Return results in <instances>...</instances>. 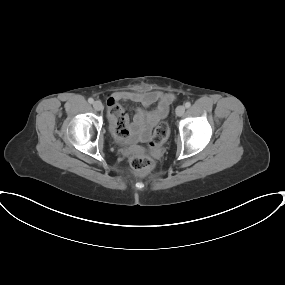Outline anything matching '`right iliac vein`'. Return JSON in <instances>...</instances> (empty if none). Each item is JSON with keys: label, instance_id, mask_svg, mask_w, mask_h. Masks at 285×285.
I'll return each mask as SVG.
<instances>
[{"label": "right iliac vein", "instance_id": "63e3f726", "mask_svg": "<svg viewBox=\"0 0 285 285\" xmlns=\"http://www.w3.org/2000/svg\"><path fill=\"white\" fill-rule=\"evenodd\" d=\"M93 107L95 110L100 111L103 109V104L101 103V101L97 100L93 103Z\"/></svg>", "mask_w": 285, "mask_h": 285}]
</instances>
